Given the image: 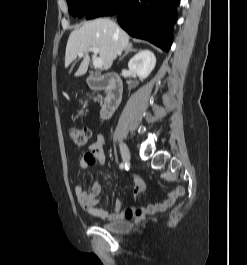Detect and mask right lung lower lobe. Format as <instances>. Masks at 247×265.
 Wrapping results in <instances>:
<instances>
[{"mask_svg":"<svg viewBox=\"0 0 247 265\" xmlns=\"http://www.w3.org/2000/svg\"><path fill=\"white\" fill-rule=\"evenodd\" d=\"M179 0H105L86 15L92 19L117 14L120 26L131 36L150 41L168 51L172 44Z\"/></svg>","mask_w":247,"mask_h":265,"instance_id":"98d812e1","label":"right lung lower lobe"}]
</instances>
